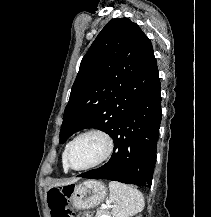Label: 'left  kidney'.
I'll list each match as a JSON object with an SVG mask.
<instances>
[{
  "mask_svg": "<svg viewBox=\"0 0 211 217\" xmlns=\"http://www.w3.org/2000/svg\"><path fill=\"white\" fill-rule=\"evenodd\" d=\"M102 217H111L110 215L106 214V215H103Z\"/></svg>",
  "mask_w": 211,
  "mask_h": 217,
  "instance_id": "5707ae66",
  "label": "left kidney"
}]
</instances>
